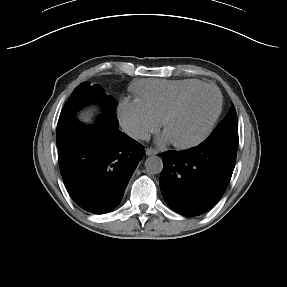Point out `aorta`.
Segmentation results:
<instances>
[{
	"label": "aorta",
	"instance_id": "1",
	"mask_svg": "<svg viewBox=\"0 0 287 287\" xmlns=\"http://www.w3.org/2000/svg\"><path fill=\"white\" fill-rule=\"evenodd\" d=\"M145 168L149 174H159L163 169L162 159L158 156H150L145 161Z\"/></svg>",
	"mask_w": 287,
	"mask_h": 287
}]
</instances>
